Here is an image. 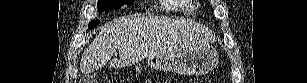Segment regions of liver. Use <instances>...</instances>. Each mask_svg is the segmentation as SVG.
Listing matches in <instances>:
<instances>
[{
	"mask_svg": "<svg viewBox=\"0 0 307 83\" xmlns=\"http://www.w3.org/2000/svg\"><path fill=\"white\" fill-rule=\"evenodd\" d=\"M215 36L207 27L191 20L165 17L122 16L101 27L82 54L80 70L90 74L108 62L120 68L153 55H174L196 45L210 44ZM118 50L119 59L112 58Z\"/></svg>",
	"mask_w": 307,
	"mask_h": 83,
	"instance_id": "liver-1",
	"label": "liver"
}]
</instances>
